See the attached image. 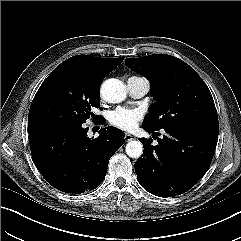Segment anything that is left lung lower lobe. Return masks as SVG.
Instances as JSON below:
<instances>
[{
	"mask_svg": "<svg viewBox=\"0 0 241 241\" xmlns=\"http://www.w3.org/2000/svg\"><path fill=\"white\" fill-rule=\"evenodd\" d=\"M147 132L159 131L143 127ZM158 145L139 139L144 152L135 163L138 182L160 197L180 195L193 187L208 170L218 129L203 126H169ZM158 133V132H156Z\"/></svg>",
	"mask_w": 241,
	"mask_h": 241,
	"instance_id": "0a47b994",
	"label": "left lung lower lobe"
}]
</instances>
